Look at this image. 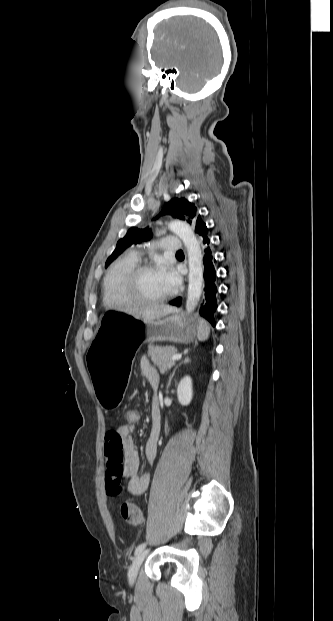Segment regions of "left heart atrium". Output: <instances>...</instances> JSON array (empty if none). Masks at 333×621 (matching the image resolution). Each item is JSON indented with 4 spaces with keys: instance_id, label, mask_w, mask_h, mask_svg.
Instances as JSON below:
<instances>
[{
    "instance_id": "39dd6f15",
    "label": "left heart atrium",
    "mask_w": 333,
    "mask_h": 621,
    "mask_svg": "<svg viewBox=\"0 0 333 621\" xmlns=\"http://www.w3.org/2000/svg\"><path fill=\"white\" fill-rule=\"evenodd\" d=\"M160 273L170 291L174 290L179 285V277L172 268L164 267L160 270Z\"/></svg>"
}]
</instances>
